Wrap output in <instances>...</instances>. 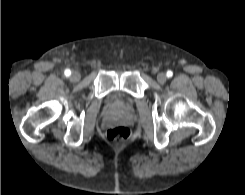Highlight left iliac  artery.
<instances>
[{"label": "left iliac artery", "instance_id": "obj_1", "mask_svg": "<svg viewBox=\"0 0 245 195\" xmlns=\"http://www.w3.org/2000/svg\"><path fill=\"white\" fill-rule=\"evenodd\" d=\"M172 75H173V72H172V71H170V70H169V71H167V77H169V78H170V77H172Z\"/></svg>", "mask_w": 245, "mask_h": 195}]
</instances>
